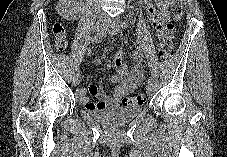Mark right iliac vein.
<instances>
[{
    "mask_svg": "<svg viewBox=\"0 0 227 157\" xmlns=\"http://www.w3.org/2000/svg\"><path fill=\"white\" fill-rule=\"evenodd\" d=\"M96 31L99 32V28L98 27H97V30ZM72 83H73L74 86L79 85V83H80V74H79V72H76L73 75Z\"/></svg>",
    "mask_w": 227,
    "mask_h": 157,
    "instance_id": "63e3f726",
    "label": "right iliac vein"
}]
</instances>
